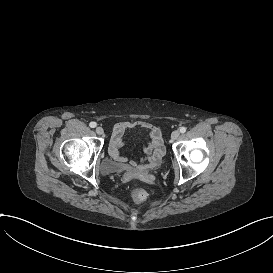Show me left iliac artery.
<instances>
[{"mask_svg": "<svg viewBox=\"0 0 273 273\" xmlns=\"http://www.w3.org/2000/svg\"><path fill=\"white\" fill-rule=\"evenodd\" d=\"M180 132H181V133H185V132H186V127H184V126H183V127H180Z\"/></svg>", "mask_w": 273, "mask_h": 273, "instance_id": "44dca946", "label": "left iliac artery"}]
</instances>
